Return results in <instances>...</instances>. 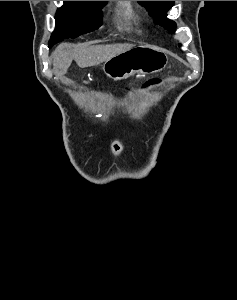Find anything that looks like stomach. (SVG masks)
<instances>
[{"instance_id": "stomach-1", "label": "stomach", "mask_w": 237, "mask_h": 300, "mask_svg": "<svg viewBox=\"0 0 237 300\" xmlns=\"http://www.w3.org/2000/svg\"><path fill=\"white\" fill-rule=\"evenodd\" d=\"M167 65L168 57L162 49L151 47V45H139L108 59L102 65V69L109 79L121 81L134 73H141V75L159 73Z\"/></svg>"}]
</instances>
